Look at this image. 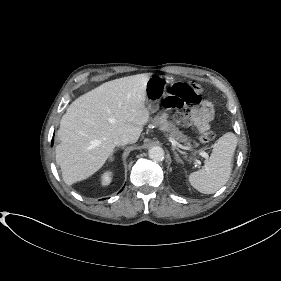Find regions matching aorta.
Here are the masks:
<instances>
[{"mask_svg":"<svg viewBox=\"0 0 281 281\" xmlns=\"http://www.w3.org/2000/svg\"><path fill=\"white\" fill-rule=\"evenodd\" d=\"M149 157L154 161H163L165 157L164 150L159 146H154L149 149Z\"/></svg>","mask_w":281,"mask_h":281,"instance_id":"obj_1","label":"aorta"}]
</instances>
